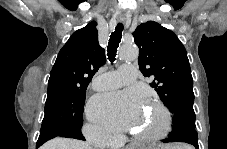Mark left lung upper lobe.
Here are the masks:
<instances>
[{
  "mask_svg": "<svg viewBox=\"0 0 227 149\" xmlns=\"http://www.w3.org/2000/svg\"><path fill=\"white\" fill-rule=\"evenodd\" d=\"M138 63L145 77L173 115V129L195 127L193 79L185 47L171 30L154 21L133 32Z\"/></svg>",
  "mask_w": 227,
  "mask_h": 149,
  "instance_id": "left-lung-upper-lobe-1",
  "label": "left lung upper lobe"
}]
</instances>
